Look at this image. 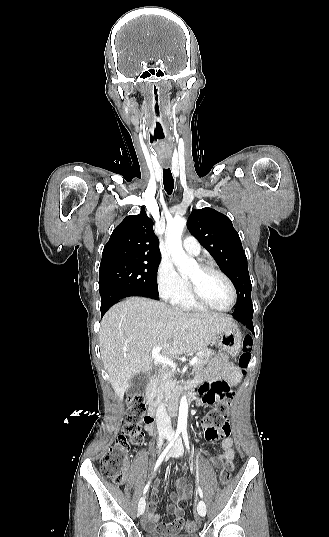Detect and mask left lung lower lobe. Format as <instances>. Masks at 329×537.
Listing matches in <instances>:
<instances>
[{"mask_svg":"<svg viewBox=\"0 0 329 537\" xmlns=\"http://www.w3.org/2000/svg\"><path fill=\"white\" fill-rule=\"evenodd\" d=\"M233 315L238 321L245 324L252 332H254V327L252 323L253 311L234 312Z\"/></svg>","mask_w":329,"mask_h":537,"instance_id":"0a47b994","label":"left lung lower lobe"}]
</instances>
